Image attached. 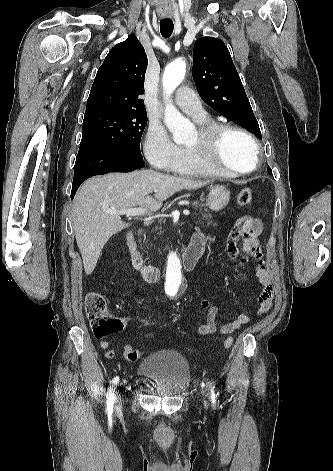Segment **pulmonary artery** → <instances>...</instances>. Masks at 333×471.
<instances>
[{
    "instance_id": "1",
    "label": "pulmonary artery",
    "mask_w": 333,
    "mask_h": 471,
    "mask_svg": "<svg viewBox=\"0 0 333 471\" xmlns=\"http://www.w3.org/2000/svg\"><path fill=\"white\" fill-rule=\"evenodd\" d=\"M175 104L185 113L200 121L206 117L198 96L188 87H181L175 96Z\"/></svg>"
}]
</instances>
